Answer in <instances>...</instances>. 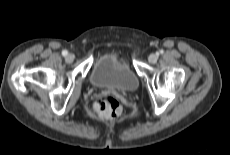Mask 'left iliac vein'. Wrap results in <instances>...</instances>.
<instances>
[{"instance_id": "4c4485c4", "label": "left iliac vein", "mask_w": 230, "mask_h": 155, "mask_svg": "<svg viewBox=\"0 0 230 155\" xmlns=\"http://www.w3.org/2000/svg\"><path fill=\"white\" fill-rule=\"evenodd\" d=\"M157 59H158V55L157 54H150L149 56H148V61L150 62V63H155L156 61H157Z\"/></svg>"}]
</instances>
